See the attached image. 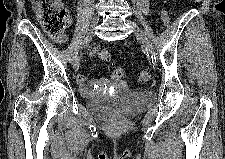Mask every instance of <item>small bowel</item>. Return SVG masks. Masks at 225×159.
<instances>
[{"instance_id":"1","label":"small bowel","mask_w":225,"mask_h":159,"mask_svg":"<svg viewBox=\"0 0 225 159\" xmlns=\"http://www.w3.org/2000/svg\"><path fill=\"white\" fill-rule=\"evenodd\" d=\"M65 37L63 38H57V37H53V40L57 43H62L64 41ZM100 49V46L98 44L93 45L90 49H89V54L91 56L96 55L97 51ZM88 81V77L84 76V75H79L76 78V83L78 85V88L80 90V92L84 95V96H92L95 91L104 83L103 80H99L97 82H95L92 86H88L86 84V82Z\"/></svg>"}]
</instances>
